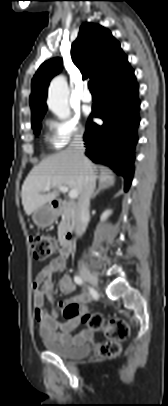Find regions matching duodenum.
Segmentation results:
<instances>
[{"label":"duodenum","instance_id":"duodenum-1","mask_svg":"<svg viewBox=\"0 0 168 406\" xmlns=\"http://www.w3.org/2000/svg\"><path fill=\"white\" fill-rule=\"evenodd\" d=\"M51 206L55 211L61 212L65 210L75 211L76 204L69 203L63 200H52ZM73 251V235L71 233H66L60 239V253L64 257H69Z\"/></svg>","mask_w":168,"mask_h":406}]
</instances>
